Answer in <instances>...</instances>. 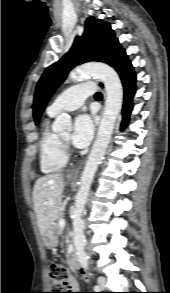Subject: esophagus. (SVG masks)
Instances as JSON below:
<instances>
[{"instance_id":"esophagus-1","label":"esophagus","mask_w":170,"mask_h":293,"mask_svg":"<svg viewBox=\"0 0 170 293\" xmlns=\"http://www.w3.org/2000/svg\"><path fill=\"white\" fill-rule=\"evenodd\" d=\"M104 99H105V94H104ZM81 167H82V162L78 166H76L73 169H71L69 171V174L68 175L69 176H77L78 173H79V171H80V169H81Z\"/></svg>"}]
</instances>
